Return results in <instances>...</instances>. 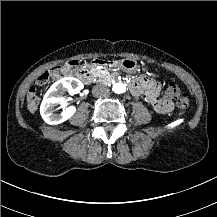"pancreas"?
<instances>
[{"label":"pancreas","mask_w":217,"mask_h":217,"mask_svg":"<svg viewBox=\"0 0 217 217\" xmlns=\"http://www.w3.org/2000/svg\"><path fill=\"white\" fill-rule=\"evenodd\" d=\"M109 76H110L109 72H106L104 74L99 75L100 78H106V77H109Z\"/></svg>","instance_id":"obj_1"}]
</instances>
